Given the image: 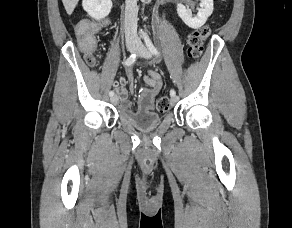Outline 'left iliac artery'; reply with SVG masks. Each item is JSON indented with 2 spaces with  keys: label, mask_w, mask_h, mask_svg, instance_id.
<instances>
[{
  "label": "left iliac artery",
  "mask_w": 292,
  "mask_h": 228,
  "mask_svg": "<svg viewBox=\"0 0 292 228\" xmlns=\"http://www.w3.org/2000/svg\"><path fill=\"white\" fill-rule=\"evenodd\" d=\"M144 41H145V44L148 47L149 51L153 55H155V56H159L160 55L158 49L154 46V44L152 43V41L150 40V38L147 35L144 36ZM170 95H171V97L176 96V92H175L174 89H171Z\"/></svg>",
  "instance_id": "obj_1"
}]
</instances>
